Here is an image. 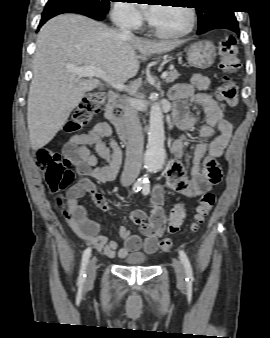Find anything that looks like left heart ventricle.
<instances>
[{
    "instance_id": "obj_1",
    "label": "left heart ventricle",
    "mask_w": 270,
    "mask_h": 338,
    "mask_svg": "<svg viewBox=\"0 0 270 338\" xmlns=\"http://www.w3.org/2000/svg\"><path fill=\"white\" fill-rule=\"evenodd\" d=\"M190 21L188 10L184 7L161 6L151 21L162 32H178L185 29Z\"/></svg>"
}]
</instances>
